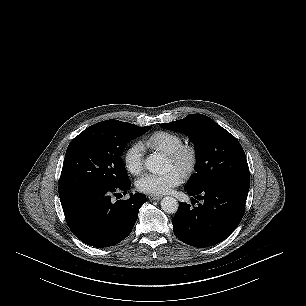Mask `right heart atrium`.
Returning <instances> with one entry per match:
<instances>
[{"label":"right heart atrium","mask_w":306,"mask_h":306,"mask_svg":"<svg viewBox=\"0 0 306 306\" xmlns=\"http://www.w3.org/2000/svg\"><path fill=\"white\" fill-rule=\"evenodd\" d=\"M143 146L140 143L130 145L124 153V164L127 171L133 175L143 170Z\"/></svg>","instance_id":"1"}]
</instances>
